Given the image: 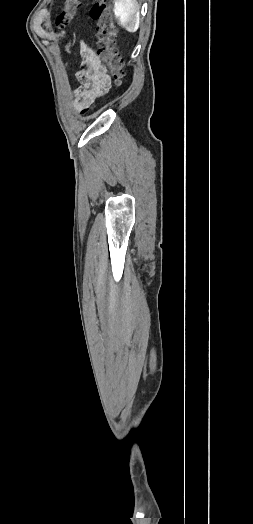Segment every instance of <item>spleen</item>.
I'll use <instances>...</instances> for the list:
<instances>
[{"label":"spleen","instance_id":"obj_1","mask_svg":"<svg viewBox=\"0 0 253 524\" xmlns=\"http://www.w3.org/2000/svg\"><path fill=\"white\" fill-rule=\"evenodd\" d=\"M114 14L119 25L128 32H136L139 28V16L137 15V3L135 0H115Z\"/></svg>","mask_w":253,"mask_h":524}]
</instances>
